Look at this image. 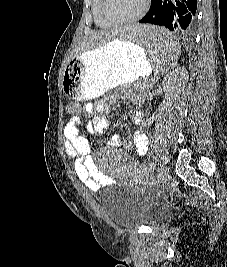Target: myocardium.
<instances>
[{
	"label": "myocardium",
	"mask_w": 227,
	"mask_h": 267,
	"mask_svg": "<svg viewBox=\"0 0 227 267\" xmlns=\"http://www.w3.org/2000/svg\"><path fill=\"white\" fill-rule=\"evenodd\" d=\"M150 0H143L142 8L141 10L134 16L126 19H114L108 12H107V0H101L100 4V10L101 14L104 19H106L111 24H129L134 23L138 20H140L148 11Z\"/></svg>",
	"instance_id": "obj_1"
}]
</instances>
